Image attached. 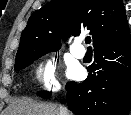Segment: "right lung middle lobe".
Masks as SVG:
<instances>
[{"instance_id": "dd1d6c3e", "label": "right lung middle lobe", "mask_w": 131, "mask_h": 115, "mask_svg": "<svg viewBox=\"0 0 131 115\" xmlns=\"http://www.w3.org/2000/svg\"><path fill=\"white\" fill-rule=\"evenodd\" d=\"M49 51H30L24 54L23 56L15 60V70H21L29 66L34 60L38 59L42 55L46 54ZM38 95L44 99L49 98V93L47 91H40Z\"/></svg>"}]
</instances>
